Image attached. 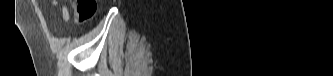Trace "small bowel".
Returning <instances> with one entry per match:
<instances>
[{
	"label": "small bowel",
	"instance_id": "small-bowel-1",
	"mask_svg": "<svg viewBox=\"0 0 333 76\" xmlns=\"http://www.w3.org/2000/svg\"><path fill=\"white\" fill-rule=\"evenodd\" d=\"M53 4H58V1H53ZM63 17L65 20H67L69 18V13H68V9L66 6L63 7Z\"/></svg>",
	"mask_w": 333,
	"mask_h": 76
}]
</instances>
